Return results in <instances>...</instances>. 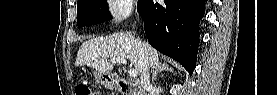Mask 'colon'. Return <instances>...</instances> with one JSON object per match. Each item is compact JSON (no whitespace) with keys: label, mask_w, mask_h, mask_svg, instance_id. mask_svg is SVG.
Segmentation results:
<instances>
[{"label":"colon","mask_w":277,"mask_h":95,"mask_svg":"<svg viewBox=\"0 0 277 95\" xmlns=\"http://www.w3.org/2000/svg\"><path fill=\"white\" fill-rule=\"evenodd\" d=\"M77 95H92L97 94L89 84V82H82L76 88Z\"/></svg>","instance_id":"5ec220e1"}]
</instances>
